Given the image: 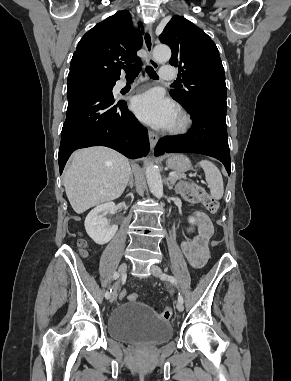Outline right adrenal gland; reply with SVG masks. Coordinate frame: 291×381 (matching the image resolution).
Instances as JSON below:
<instances>
[{"label": "right adrenal gland", "mask_w": 291, "mask_h": 381, "mask_svg": "<svg viewBox=\"0 0 291 381\" xmlns=\"http://www.w3.org/2000/svg\"><path fill=\"white\" fill-rule=\"evenodd\" d=\"M128 186H130L131 188L133 187V173L131 172V175H130V178H129V182L127 184Z\"/></svg>", "instance_id": "obj_1"}]
</instances>
